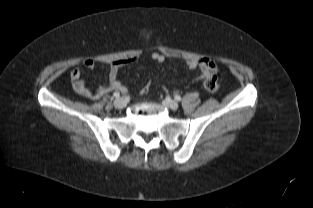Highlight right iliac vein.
I'll return each mask as SVG.
<instances>
[{"label":"right iliac vein","mask_w":313,"mask_h":208,"mask_svg":"<svg viewBox=\"0 0 313 208\" xmlns=\"http://www.w3.org/2000/svg\"><path fill=\"white\" fill-rule=\"evenodd\" d=\"M126 101L123 98H118L114 101V106L118 109L126 107Z\"/></svg>","instance_id":"right-iliac-vein-1"}]
</instances>
